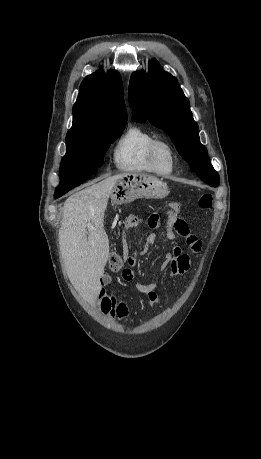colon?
Segmentation results:
<instances>
[{"label":"colon","mask_w":261,"mask_h":459,"mask_svg":"<svg viewBox=\"0 0 261 459\" xmlns=\"http://www.w3.org/2000/svg\"><path fill=\"white\" fill-rule=\"evenodd\" d=\"M213 204V197L209 193H205L200 196L198 200V207L201 210H210ZM181 211V206L178 202H171L169 204V219H172L176 222L177 226L180 229H183L186 226V223L178 218V215ZM147 225L151 229H157L160 227V218L157 214H151L147 218ZM123 267V260L119 253L112 254L109 258V269L112 272H118Z\"/></svg>","instance_id":"obj_1"}]
</instances>
